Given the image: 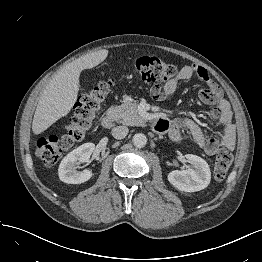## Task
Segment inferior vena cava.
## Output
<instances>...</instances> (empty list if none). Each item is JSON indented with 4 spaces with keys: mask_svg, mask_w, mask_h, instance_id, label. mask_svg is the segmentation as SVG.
I'll list each match as a JSON object with an SVG mask.
<instances>
[{
    "mask_svg": "<svg viewBox=\"0 0 262 262\" xmlns=\"http://www.w3.org/2000/svg\"><path fill=\"white\" fill-rule=\"evenodd\" d=\"M128 131L126 126H117L112 129V135L116 139H123L127 136Z\"/></svg>",
    "mask_w": 262,
    "mask_h": 262,
    "instance_id": "602c4592",
    "label": "inferior vena cava"
}]
</instances>
